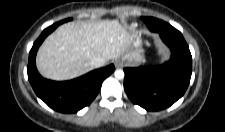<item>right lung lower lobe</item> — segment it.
I'll return each instance as SVG.
<instances>
[{"mask_svg": "<svg viewBox=\"0 0 225 132\" xmlns=\"http://www.w3.org/2000/svg\"><path fill=\"white\" fill-rule=\"evenodd\" d=\"M59 25L55 23L46 28L33 44L29 53L28 79L36 95L50 108L62 113H75L88 106L95 99L102 82L115 70V67L111 64L64 82L44 79L36 69V53L43 40Z\"/></svg>", "mask_w": 225, "mask_h": 132, "instance_id": "98d812e1", "label": "right lung lower lobe"}]
</instances>
